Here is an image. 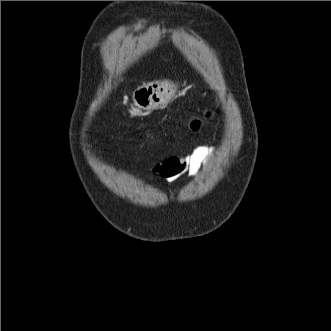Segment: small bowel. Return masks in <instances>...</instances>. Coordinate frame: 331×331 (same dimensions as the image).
I'll return each mask as SVG.
<instances>
[{
	"label": "small bowel",
	"mask_w": 331,
	"mask_h": 331,
	"mask_svg": "<svg viewBox=\"0 0 331 331\" xmlns=\"http://www.w3.org/2000/svg\"><path fill=\"white\" fill-rule=\"evenodd\" d=\"M213 153L211 146H198L185 156L170 157L155 163L152 172L167 182L174 181L182 174L194 177L207 165Z\"/></svg>",
	"instance_id": "small-bowel-1"
}]
</instances>
